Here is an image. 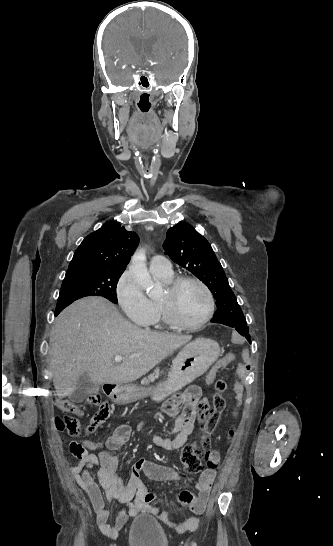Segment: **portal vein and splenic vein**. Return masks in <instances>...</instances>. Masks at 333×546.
Instances as JSON below:
<instances>
[{"instance_id": "1", "label": "portal vein and splenic vein", "mask_w": 333, "mask_h": 546, "mask_svg": "<svg viewBox=\"0 0 333 546\" xmlns=\"http://www.w3.org/2000/svg\"><path fill=\"white\" fill-rule=\"evenodd\" d=\"M123 360H124V357H122L121 355H116V356L114 357V361H115L116 363H120V362H122Z\"/></svg>"}]
</instances>
